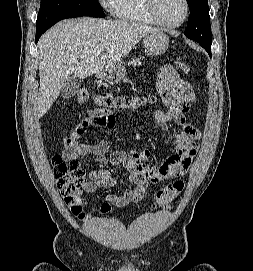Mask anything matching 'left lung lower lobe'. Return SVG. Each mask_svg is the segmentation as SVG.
Here are the masks:
<instances>
[{
	"label": "left lung lower lobe",
	"instance_id": "1",
	"mask_svg": "<svg viewBox=\"0 0 253 271\" xmlns=\"http://www.w3.org/2000/svg\"><path fill=\"white\" fill-rule=\"evenodd\" d=\"M203 48H205V50L208 52L209 56L211 57V45H203Z\"/></svg>",
	"mask_w": 253,
	"mask_h": 271
}]
</instances>
